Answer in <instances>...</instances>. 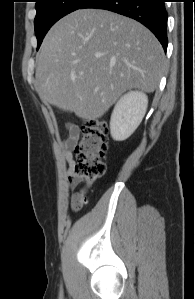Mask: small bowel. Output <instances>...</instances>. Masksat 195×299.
<instances>
[{"label":"small bowel","mask_w":195,"mask_h":299,"mask_svg":"<svg viewBox=\"0 0 195 299\" xmlns=\"http://www.w3.org/2000/svg\"><path fill=\"white\" fill-rule=\"evenodd\" d=\"M79 135H80L79 127L77 125H70L68 127V135L64 141V148H65L64 159L69 166L67 173L72 185L74 180V172H73L74 159H73L72 150L78 141Z\"/></svg>","instance_id":"1"}]
</instances>
